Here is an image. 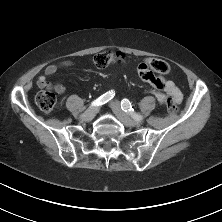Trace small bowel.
Returning a JSON list of instances; mask_svg holds the SVG:
<instances>
[{"instance_id":"1","label":"small bowel","mask_w":222,"mask_h":222,"mask_svg":"<svg viewBox=\"0 0 222 222\" xmlns=\"http://www.w3.org/2000/svg\"><path fill=\"white\" fill-rule=\"evenodd\" d=\"M71 66H73V63L68 61L48 65L45 69V76H41L38 79V86L40 88L53 89L59 94L64 93L65 87L62 84L57 83L53 85L48 81L47 77L55 75L61 68ZM137 76L139 79L144 80L153 86V89L150 92L155 95L160 104L165 103L166 95L170 96L175 101V103L181 102L182 93L174 82L167 80L162 76H157L150 70L144 69L139 70Z\"/></svg>"}]
</instances>
